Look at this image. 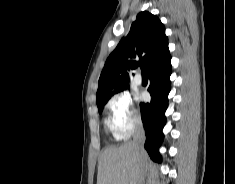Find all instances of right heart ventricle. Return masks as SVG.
<instances>
[{"label":"right heart ventricle","instance_id":"e07e8e85","mask_svg":"<svg viewBox=\"0 0 235 184\" xmlns=\"http://www.w3.org/2000/svg\"><path fill=\"white\" fill-rule=\"evenodd\" d=\"M111 148L113 149V148H115V146H112Z\"/></svg>","mask_w":235,"mask_h":184}]
</instances>
